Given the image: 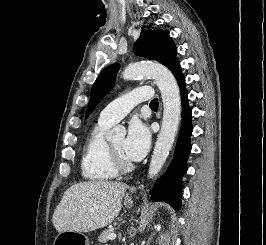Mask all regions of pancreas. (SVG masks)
<instances>
[{
    "mask_svg": "<svg viewBox=\"0 0 266 245\" xmlns=\"http://www.w3.org/2000/svg\"><path fill=\"white\" fill-rule=\"evenodd\" d=\"M112 233H114L113 229H106V231H103L100 237H98L99 243H107V241H109L107 237H109V235H112Z\"/></svg>",
    "mask_w": 266,
    "mask_h": 245,
    "instance_id": "obj_1",
    "label": "pancreas"
}]
</instances>
